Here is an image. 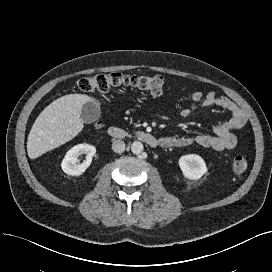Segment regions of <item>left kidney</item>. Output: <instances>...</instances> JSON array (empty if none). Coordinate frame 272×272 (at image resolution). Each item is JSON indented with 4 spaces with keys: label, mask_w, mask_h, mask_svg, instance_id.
I'll list each match as a JSON object with an SVG mask.
<instances>
[{
    "label": "left kidney",
    "mask_w": 272,
    "mask_h": 272,
    "mask_svg": "<svg viewBox=\"0 0 272 272\" xmlns=\"http://www.w3.org/2000/svg\"><path fill=\"white\" fill-rule=\"evenodd\" d=\"M179 167L187 179L198 180L207 173V166L204 160L197 154L181 156Z\"/></svg>",
    "instance_id": "5707ae66"
}]
</instances>
